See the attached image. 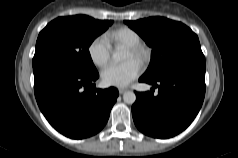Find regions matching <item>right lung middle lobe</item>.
<instances>
[{"mask_svg":"<svg viewBox=\"0 0 238 158\" xmlns=\"http://www.w3.org/2000/svg\"><path fill=\"white\" fill-rule=\"evenodd\" d=\"M112 23L111 20H95L86 15L59 17L40 32L33 62L52 58L83 74H94L97 70L88 48Z\"/></svg>","mask_w":238,"mask_h":158,"instance_id":"obj_1","label":"right lung middle lobe"}]
</instances>
